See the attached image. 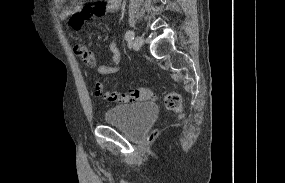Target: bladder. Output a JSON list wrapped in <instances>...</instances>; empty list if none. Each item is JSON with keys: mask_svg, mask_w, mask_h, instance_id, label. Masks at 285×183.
I'll use <instances>...</instances> for the list:
<instances>
[{"mask_svg": "<svg viewBox=\"0 0 285 183\" xmlns=\"http://www.w3.org/2000/svg\"><path fill=\"white\" fill-rule=\"evenodd\" d=\"M158 114V108L150 102L119 105L107 110L104 121L136 134L145 130Z\"/></svg>", "mask_w": 285, "mask_h": 183, "instance_id": "1", "label": "bladder"}]
</instances>
